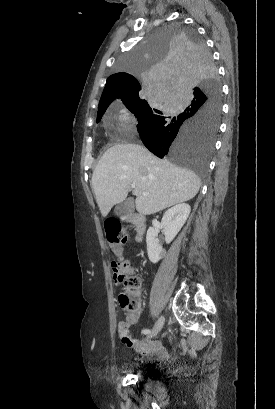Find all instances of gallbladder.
<instances>
[{
	"instance_id": "1",
	"label": "gallbladder",
	"mask_w": 275,
	"mask_h": 409,
	"mask_svg": "<svg viewBox=\"0 0 275 409\" xmlns=\"http://www.w3.org/2000/svg\"><path fill=\"white\" fill-rule=\"evenodd\" d=\"M115 215H130L134 213V198H126L125 202H119L114 209Z\"/></svg>"
}]
</instances>
